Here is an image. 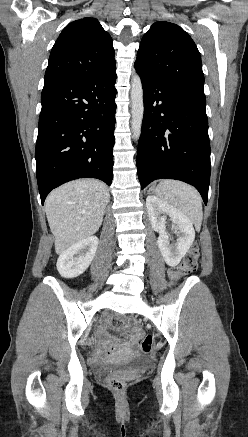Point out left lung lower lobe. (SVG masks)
<instances>
[{
    "label": "left lung lower lobe",
    "mask_w": 248,
    "mask_h": 437,
    "mask_svg": "<svg viewBox=\"0 0 248 437\" xmlns=\"http://www.w3.org/2000/svg\"><path fill=\"white\" fill-rule=\"evenodd\" d=\"M140 78L144 116L137 169L141 189L156 179H177L193 185L207 204L211 168L205 95Z\"/></svg>",
    "instance_id": "obj_1"
}]
</instances>
